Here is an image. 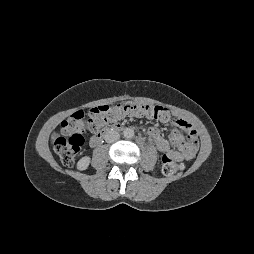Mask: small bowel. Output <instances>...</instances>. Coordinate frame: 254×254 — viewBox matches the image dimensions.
<instances>
[{
  "label": "small bowel",
  "mask_w": 254,
  "mask_h": 254,
  "mask_svg": "<svg viewBox=\"0 0 254 254\" xmlns=\"http://www.w3.org/2000/svg\"><path fill=\"white\" fill-rule=\"evenodd\" d=\"M158 120L162 123H168L174 128L168 139L162 135L157 127L154 126L149 129V136L163 153V157L167 156L175 161L192 160L198 149L197 132L192 123L183 117L172 118L165 110L164 116ZM180 131H184L187 137L184 138ZM171 146H176L178 150H173Z\"/></svg>",
  "instance_id": "small-bowel-1"
}]
</instances>
